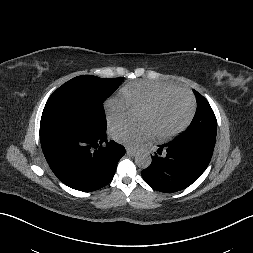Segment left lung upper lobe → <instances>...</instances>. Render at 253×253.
I'll return each mask as SVG.
<instances>
[{
  "label": "left lung upper lobe",
  "instance_id": "obj_1",
  "mask_svg": "<svg viewBox=\"0 0 253 253\" xmlns=\"http://www.w3.org/2000/svg\"><path fill=\"white\" fill-rule=\"evenodd\" d=\"M197 110L189 127L171 142L198 145L212 154L216 141L217 121L208 101L197 91Z\"/></svg>",
  "mask_w": 253,
  "mask_h": 253
}]
</instances>
